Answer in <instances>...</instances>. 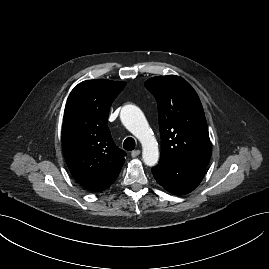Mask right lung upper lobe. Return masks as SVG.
<instances>
[{
  "mask_svg": "<svg viewBox=\"0 0 269 269\" xmlns=\"http://www.w3.org/2000/svg\"><path fill=\"white\" fill-rule=\"evenodd\" d=\"M125 82L106 79L79 83L71 91L62 125L63 153L74 179L85 189L100 192L118 177L126 153L112 140L109 109Z\"/></svg>",
  "mask_w": 269,
  "mask_h": 269,
  "instance_id": "obj_1",
  "label": "right lung upper lobe"
}]
</instances>
